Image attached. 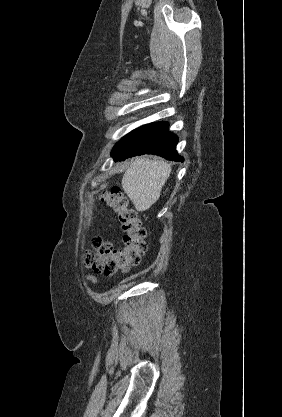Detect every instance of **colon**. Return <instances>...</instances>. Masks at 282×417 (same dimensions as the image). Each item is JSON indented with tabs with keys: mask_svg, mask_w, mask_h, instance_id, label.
<instances>
[{
	"mask_svg": "<svg viewBox=\"0 0 282 417\" xmlns=\"http://www.w3.org/2000/svg\"><path fill=\"white\" fill-rule=\"evenodd\" d=\"M101 197L115 216L123 234L122 248L115 251L111 242L93 238L95 251L84 254V263L95 272L114 275L136 266L145 252V229L135 209L129 207L123 190L118 186L105 188Z\"/></svg>",
	"mask_w": 282,
	"mask_h": 417,
	"instance_id": "obj_1",
	"label": "colon"
}]
</instances>
